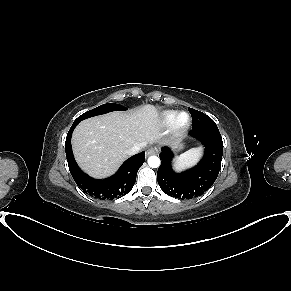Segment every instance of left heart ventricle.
<instances>
[{"label":"left heart ventricle","mask_w":291,"mask_h":291,"mask_svg":"<svg viewBox=\"0 0 291 291\" xmlns=\"http://www.w3.org/2000/svg\"><path fill=\"white\" fill-rule=\"evenodd\" d=\"M179 121L181 123L185 122L186 121V116L185 115H182L180 118H179Z\"/></svg>","instance_id":"left-heart-ventricle-1"}]
</instances>
